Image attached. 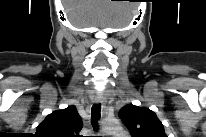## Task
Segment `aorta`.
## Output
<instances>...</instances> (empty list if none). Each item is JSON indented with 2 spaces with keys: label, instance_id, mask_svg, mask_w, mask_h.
<instances>
[{
  "label": "aorta",
  "instance_id": "aorta-1",
  "mask_svg": "<svg viewBox=\"0 0 206 137\" xmlns=\"http://www.w3.org/2000/svg\"><path fill=\"white\" fill-rule=\"evenodd\" d=\"M104 130H105V132H107L109 134H120L122 128H121L119 122L115 121L112 123L106 122L104 124Z\"/></svg>",
  "mask_w": 206,
  "mask_h": 137
}]
</instances>
